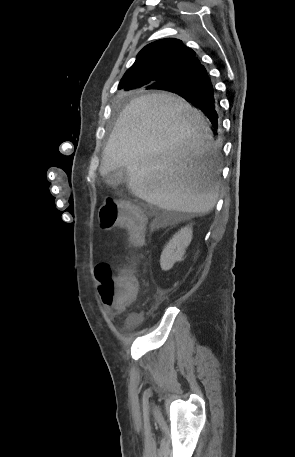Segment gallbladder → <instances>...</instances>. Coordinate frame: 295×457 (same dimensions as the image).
Listing matches in <instances>:
<instances>
[{
  "instance_id": "gallbladder-1",
  "label": "gallbladder",
  "mask_w": 295,
  "mask_h": 457,
  "mask_svg": "<svg viewBox=\"0 0 295 457\" xmlns=\"http://www.w3.org/2000/svg\"><path fill=\"white\" fill-rule=\"evenodd\" d=\"M106 182L110 186H118L127 182L128 180V171L125 167L119 168L115 171L110 172L105 177Z\"/></svg>"
}]
</instances>
